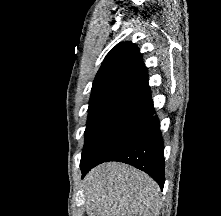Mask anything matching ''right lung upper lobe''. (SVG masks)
I'll list each match as a JSON object with an SVG mask.
<instances>
[{"label": "right lung upper lobe", "instance_id": "right-lung-upper-lobe-1", "mask_svg": "<svg viewBox=\"0 0 221 216\" xmlns=\"http://www.w3.org/2000/svg\"><path fill=\"white\" fill-rule=\"evenodd\" d=\"M142 54L135 44H117L105 57L92 86L87 122L119 114L154 112Z\"/></svg>", "mask_w": 221, "mask_h": 216}]
</instances>
